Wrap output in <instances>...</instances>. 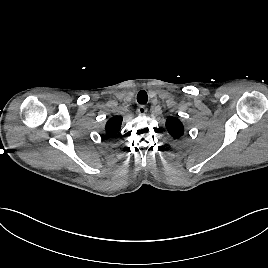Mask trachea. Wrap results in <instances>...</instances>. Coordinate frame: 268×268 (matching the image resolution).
<instances>
[{
  "instance_id": "obj_1",
  "label": "trachea",
  "mask_w": 268,
  "mask_h": 268,
  "mask_svg": "<svg viewBox=\"0 0 268 268\" xmlns=\"http://www.w3.org/2000/svg\"><path fill=\"white\" fill-rule=\"evenodd\" d=\"M137 101L139 104H142V105L147 103L148 95H147L146 91H144V90L139 91V93L137 95Z\"/></svg>"
}]
</instances>
